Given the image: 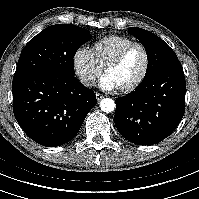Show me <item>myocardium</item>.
<instances>
[{
  "instance_id": "1",
  "label": "myocardium",
  "mask_w": 199,
  "mask_h": 199,
  "mask_svg": "<svg viewBox=\"0 0 199 199\" xmlns=\"http://www.w3.org/2000/svg\"><path fill=\"white\" fill-rule=\"evenodd\" d=\"M133 47H140L142 49L144 56H145V65H144L141 75L138 77V79L136 81H134L132 84H130L126 87L119 89V91L121 93H131V92L135 91L146 80L149 69H150V63H151L150 53H149L147 47L143 43L132 42V43L124 46L122 49H120V51L103 68V75H105V73L108 70L117 67L119 65V63L122 61V59L124 58V56L126 55V53Z\"/></svg>"
}]
</instances>
